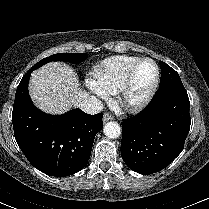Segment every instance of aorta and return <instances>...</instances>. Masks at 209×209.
<instances>
[{
  "instance_id": "762f6f07",
  "label": "aorta",
  "mask_w": 209,
  "mask_h": 209,
  "mask_svg": "<svg viewBox=\"0 0 209 209\" xmlns=\"http://www.w3.org/2000/svg\"><path fill=\"white\" fill-rule=\"evenodd\" d=\"M103 132L108 138L115 139L120 136L121 128L117 122L111 121L105 124Z\"/></svg>"
}]
</instances>
